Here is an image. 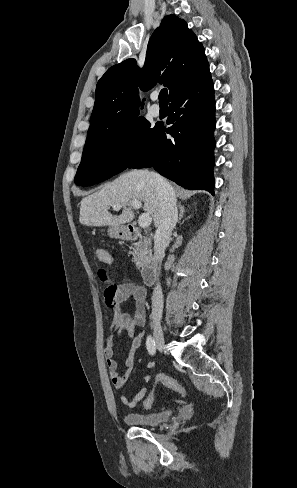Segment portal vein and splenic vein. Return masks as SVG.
Listing matches in <instances>:
<instances>
[{
    "instance_id": "portal-vein-and-splenic-vein-1",
    "label": "portal vein and splenic vein",
    "mask_w": 297,
    "mask_h": 488,
    "mask_svg": "<svg viewBox=\"0 0 297 488\" xmlns=\"http://www.w3.org/2000/svg\"><path fill=\"white\" fill-rule=\"evenodd\" d=\"M130 205L135 209H139L142 207V203L139 200L130 201ZM112 207L114 210H119L120 208H122V205L121 204H114ZM151 221H152L151 216H150V214H147V213L142 214L138 220L139 226L141 228H147L148 226H150Z\"/></svg>"
}]
</instances>
